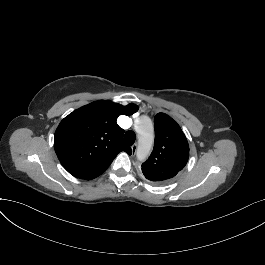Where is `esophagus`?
Wrapping results in <instances>:
<instances>
[{
	"mask_svg": "<svg viewBox=\"0 0 265 265\" xmlns=\"http://www.w3.org/2000/svg\"><path fill=\"white\" fill-rule=\"evenodd\" d=\"M132 152H133V154H135L137 152V143L132 145Z\"/></svg>",
	"mask_w": 265,
	"mask_h": 265,
	"instance_id": "34e87169",
	"label": "esophagus"
}]
</instances>
